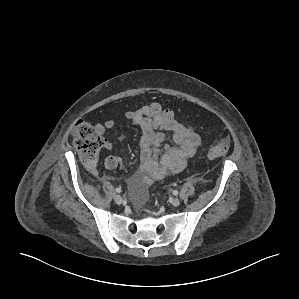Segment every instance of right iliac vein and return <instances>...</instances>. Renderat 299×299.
Listing matches in <instances>:
<instances>
[{
    "label": "right iliac vein",
    "instance_id": "1",
    "mask_svg": "<svg viewBox=\"0 0 299 299\" xmlns=\"http://www.w3.org/2000/svg\"><path fill=\"white\" fill-rule=\"evenodd\" d=\"M114 200L117 204H121L123 201L122 197L118 194L114 196Z\"/></svg>",
    "mask_w": 299,
    "mask_h": 299
}]
</instances>
